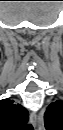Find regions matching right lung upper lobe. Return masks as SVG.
<instances>
[{"label": "right lung upper lobe", "mask_w": 63, "mask_h": 130, "mask_svg": "<svg viewBox=\"0 0 63 130\" xmlns=\"http://www.w3.org/2000/svg\"><path fill=\"white\" fill-rule=\"evenodd\" d=\"M13 100L0 101L1 126L7 130H23L28 121V111L20 104H14Z\"/></svg>", "instance_id": "right-lung-upper-lobe-1"}]
</instances>
